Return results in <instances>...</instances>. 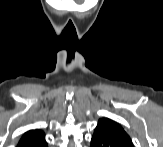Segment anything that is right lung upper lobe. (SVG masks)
Masks as SVG:
<instances>
[{"instance_id":"1","label":"right lung upper lobe","mask_w":163,"mask_h":147,"mask_svg":"<svg viewBox=\"0 0 163 147\" xmlns=\"http://www.w3.org/2000/svg\"><path fill=\"white\" fill-rule=\"evenodd\" d=\"M31 135H44V132L41 130H30L28 132H26L23 137L25 136H31Z\"/></svg>"}]
</instances>
